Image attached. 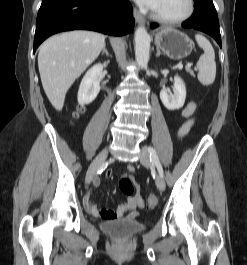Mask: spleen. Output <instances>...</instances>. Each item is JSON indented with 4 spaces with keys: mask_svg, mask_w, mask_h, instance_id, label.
Returning a JSON list of instances; mask_svg holds the SVG:
<instances>
[{
    "mask_svg": "<svg viewBox=\"0 0 247 265\" xmlns=\"http://www.w3.org/2000/svg\"><path fill=\"white\" fill-rule=\"evenodd\" d=\"M195 39L204 51V54L197 62L198 80L203 85H211L216 76L215 53L211 43L204 36L200 34L195 35Z\"/></svg>",
    "mask_w": 247,
    "mask_h": 265,
    "instance_id": "3e777b00",
    "label": "spleen"
}]
</instances>
